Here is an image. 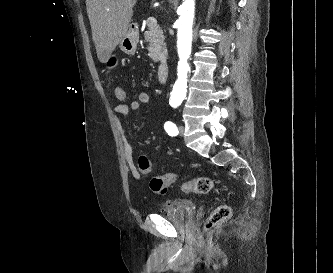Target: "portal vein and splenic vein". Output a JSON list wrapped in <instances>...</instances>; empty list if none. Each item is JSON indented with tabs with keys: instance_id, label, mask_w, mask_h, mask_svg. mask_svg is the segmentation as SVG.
<instances>
[{
	"instance_id": "obj_1",
	"label": "portal vein and splenic vein",
	"mask_w": 333,
	"mask_h": 273,
	"mask_svg": "<svg viewBox=\"0 0 333 273\" xmlns=\"http://www.w3.org/2000/svg\"><path fill=\"white\" fill-rule=\"evenodd\" d=\"M147 25L151 28H156L157 27V20L154 17H150L147 20Z\"/></svg>"
}]
</instances>
